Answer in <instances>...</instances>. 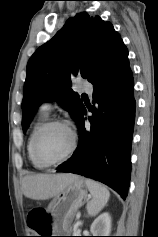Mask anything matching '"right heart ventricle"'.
Returning a JSON list of instances; mask_svg holds the SVG:
<instances>
[{
  "label": "right heart ventricle",
  "instance_id": "1",
  "mask_svg": "<svg viewBox=\"0 0 158 237\" xmlns=\"http://www.w3.org/2000/svg\"><path fill=\"white\" fill-rule=\"evenodd\" d=\"M46 118H47V113L46 112H43L39 118L37 119V121L34 123L33 127H32V130L29 134V137H28V141H27V153H28V158L30 160V162L33 164V166L37 169H44L46 168L47 166L39 163L34 155H33V152H32V144H33V139H34V136L35 134L37 133V131L39 130V128L46 122Z\"/></svg>",
  "mask_w": 158,
  "mask_h": 237
}]
</instances>
